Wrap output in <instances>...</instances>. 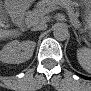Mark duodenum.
Wrapping results in <instances>:
<instances>
[{
  "label": "duodenum",
  "instance_id": "obj_1",
  "mask_svg": "<svg viewBox=\"0 0 91 91\" xmlns=\"http://www.w3.org/2000/svg\"><path fill=\"white\" fill-rule=\"evenodd\" d=\"M14 19H15L16 23L19 26H24L25 25V21L23 19V14L22 13H14Z\"/></svg>",
  "mask_w": 91,
  "mask_h": 91
}]
</instances>
